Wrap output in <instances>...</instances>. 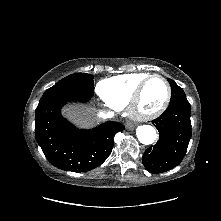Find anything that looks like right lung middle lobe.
Instances as JSON below:
<instances>
[{
    "instance_id": "dd1d6c3e",
    "label": "right lung middle lobe",
    "mask_w": 221,
    "mask_h": 221,
    "mask_svg": "<svg viewBox=\"0 0 221 221\" xmlns=\"http://www.w3.org/2000/svg\"><path fill=\"white\" fill-rule=\"evenodd\" d=\"M93 92V76L85 73H75L63 78L47 89L39 103L63 96H80L90 99L93 97Z\"/></svg>"
}]
</instances>
